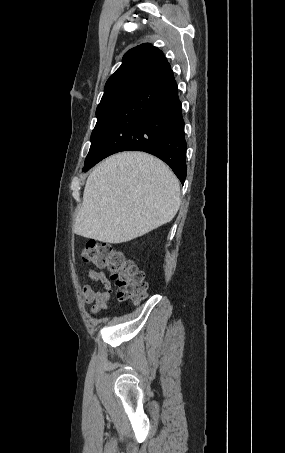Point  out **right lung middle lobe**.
Listing matches in <instances>:
<instances>
[{"label": "right lung middle lobe", "instance_id": "dd1d6c3e", "mask_svg": "<svg viewBox=\"0 0 285 453\" xmlns=\"http://www.w3.org/2000/svg\"><path fill=\"white\" fill-rule=\"evenodd\" d=\"M132 95L133 94L122 95L98 105L96 110L97 123L91 134V147L85 159L84 168L91 163L95 152L101 145L103 138L119 111Z\"/></svg>", "mask_w": 285, "mask_h": 453}]
</instances>
